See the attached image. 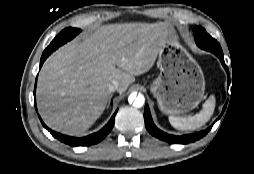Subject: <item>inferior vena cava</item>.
<instances>
[{
  "label": "inferior vena cava",
  "instance_id": "602c4592",
  "mask_svg": "<svg viewBox=\"0 0 254 174\" xmlns=\"http://www.w3.org/2000/svg\"><path fill=\"white\" fill-rule=\"evenodd\" d=\"M119 89V82L117 80H113L112 83L109 85V90L111 92L117 91Z\"/></svg>",
  "mask_w": 254,
  "mask_h": 174
}]
</instances>
